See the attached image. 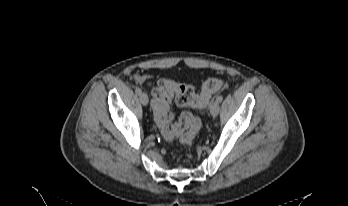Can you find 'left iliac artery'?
Listing matches in <instances>:
<instances>
[{"instance_id": "obj_1", "label": "left iliac artery", "mask_w": 348, "mask_h": 206, "mask_svg": "<svg viewBox=\"0 0 348 206\" xmlns=\"http://www.w3.org/2000/svg\"><path fill=\"white\" fill-rule=\"evenodd\" d=\"M216 100H217L218 102H222L223 96H222V95H219V96L216 98Z\"/></svg>"}]
</instances>
